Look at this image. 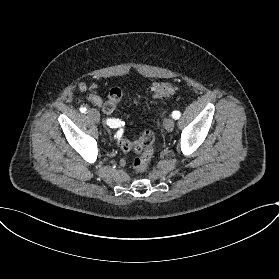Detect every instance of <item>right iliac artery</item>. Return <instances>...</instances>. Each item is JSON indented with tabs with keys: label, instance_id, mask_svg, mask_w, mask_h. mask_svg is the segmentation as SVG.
<instances>
[{
	"label": "right iliac artery",
	"instance_id": "right-iliac-artery-1",
	"mask_svg": "<svg viewBox=\"0 0 279 279\" xmlns=\"http://www.w3.org/2000/svg\"><path fill=\"white\" fill-rule=\"evenodd\" d=\"M81 113H85L87 111L86 107L80 108ZM107 125L111 128L118 127L120 130L125 128V123L123 121H119L118 119H107Z\"/></svg>",
	"mask_w": 279,
	"mask_h": 279
}]
</instances>
